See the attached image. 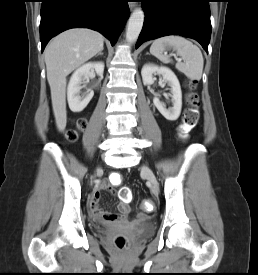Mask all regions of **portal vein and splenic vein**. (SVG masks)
I'll return each instance as SVG.
<instances>
[{
  "label": "portal vein and splenic vein",
  "mask_w": 258,
  "mask_h": 275,
  "mask_svg": "<svg viewBox=\"0 0 258 275\" xmlns=\"http://www.w3.org/2000/svg\"><path fill=\"white\" fill-rule=\"evenodd\" d=\"M175 59L177 60V61H182V58H177V57H175Z\"/></svg>",
  "instance_id": "18ae733b"
}]
</instances>
